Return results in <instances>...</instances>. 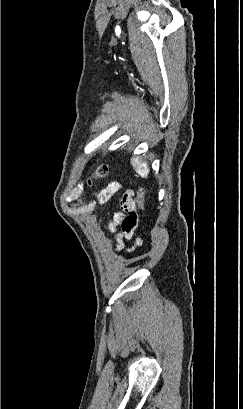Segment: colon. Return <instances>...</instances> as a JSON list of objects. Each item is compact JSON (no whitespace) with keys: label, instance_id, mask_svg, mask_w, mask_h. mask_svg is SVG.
Wrapping results in <instances>:
<instances>
[{"label":"colon","instance_id":"obj_1","mask_svg":"<svg viewBox=\"0 0 243 409\" xmlns=\"http://www.w3.org/2000/svg\"><path fill=\"white\" fill-rule=\"evenodd\" d=\"M106 173H107V167L100 166L95 170L91 180L95 178L104 177ZM89 183H90V180H89ZM136 193H137V206H138V209L142 211L145 205V189L142 186H139L137 188Z\"/></svg>","mask_w":243,"mask_h":409}]
</instances>
